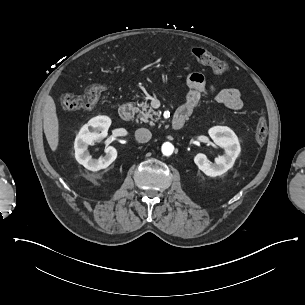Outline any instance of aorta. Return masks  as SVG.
<instances>
[{
  "label": "aorta",
  "mask_w": 305,
  "mask_h": 305,
  "mask_svg": "<svg viewBox=\"0 0 305 305\" xmlns=\"http://www.w3.org/2000/svg\"><path fill=\"white\" fill-rule=\"evenodd\" d=\"M161 151L164 156H170L174 151V146L170 142H165L161 147Z\"/></svg>",
  "instance_id": "1"
}]
</instances>
